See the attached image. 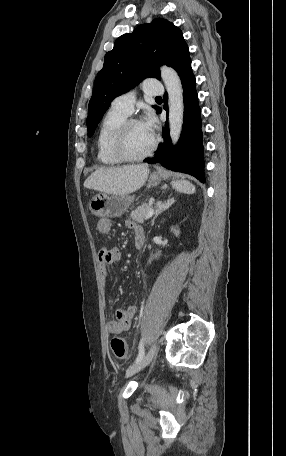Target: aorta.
Returning a JSON list of instances; mask_svg holds the SVG:
<instances>
[{"instance_id": "762f6f07", "label": "aorta", "mask_w": 286, "mask_h": 456, "mask_svg": "<svg viewBox=\"0 0 286 456\" xmlns=\"http://www.w3.org/2000/svg\"><path fill=\"white\" fill-rule=\"evenodd\" d=\"M161 77L168 92L170 137L177 143L183 125V88L177 72L167 66L161 67Z\"/></svg>"}]
</instances>
